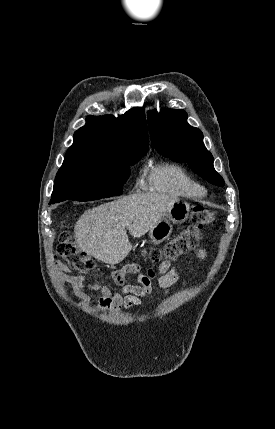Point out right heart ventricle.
<instances>
[{"mask_svg": "<svg viewBox=\"0 0 275 429\" xmlns=\"http://www.w3.org/2000/svg\"><path fill=\"white\" fill-rule=\"evenodd\" d=\"M146 187L152 191L179 196L203 197L204 187L184 167L175 163L154 165L146 174Z\"/></svg>", "mask_w": 275, "mask_h": 429, "instance_id": "1", "label": "right heart ventricle"}]
</instances>
